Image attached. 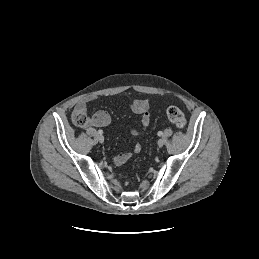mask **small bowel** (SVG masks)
<instances>
[{
    "label": "small bowel",
    "mask_w": 259,
    "mask_h": 259,
    "mask_svg": "<svg viewBox=\"0 0 259 259\" xmlns=\"http://www.w3.org/2000/svg\"><path fill=\"white\" fill-rule=\"evenodd\" d=\"M94 97H86L81 99L75 106V113H84L87 111V104L94 100ZM131 108L134 113L141 116V123L143 130L146 129L150 123L149 115V102L145 99H136L131 103ZM110 122V116L106 111H97L92 118L88 120V124L95 127H103ZM142 133L141 130L135 128L132 130V134L137 136ZM141 150V145L136 144L133 148V152L138 153ZM132 155V152L121 153L114 156L113 160L116 164H124Z\"/></svg>",
    "instance_id": "c3829d8e"
}]
</instances>
